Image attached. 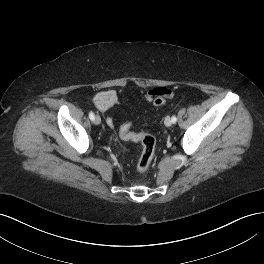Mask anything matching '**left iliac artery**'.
Returning a JSON list of instances; mask_svg holds the SVG:
<instances>
[{"label": "left iliac artery", "mask_w": 264, "mask_h": 264, "mask_svg": "<svg viewBox=\"0 0 264 264\" xmlns=\"http://www.w3.org/2000/svg\"><path fill=\"white\" fill-rule=\"evenodd\" d=\"M171 120H172V123H176V121H177L176 116H172Z\"/></svg>", "instance_id": "44dca946"}]
</instances>
